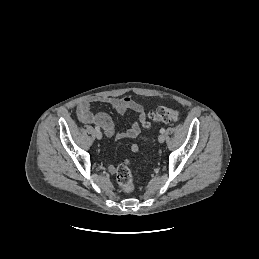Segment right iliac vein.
I'll return each mask as SVG.
<instances>
[{"instance_id": "right-iliac-vein-1", "label": "right iliac vein", "mask_w": 259, "mask_h": 259, "mask_svg": "<svg viewBox=\"0 0 259 259\" xmlns=\"http://www.w3.org/2000/svg\"><path fill=\"white\" fill-rule=\"evenodd\" d=\"M95 136H96V138L97 139H101L102 138V133L100 132V131H97L96 133H95Z\"/></svg>"}]
</instances>
